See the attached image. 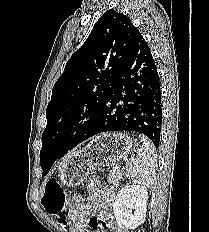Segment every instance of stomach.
<instances>
[{
	"label": "stomach",
	"instance_id": "0dacf381",
	"mask_svg": "<svg viewBox=\"0 0 209 232\" xmlns=\"http://www.w3.org/2000/svg\"><path fill=\"white\" fill-rule=\"evenodd\" d=\"M132 149V139L125 134L104 133L96 136L63 165L59 174L60 180L67 186L79 185L92 170L115 163Z\"/></svg>",
	"mask_w": 209,
	"mask_h": 232
}]
</instances>
